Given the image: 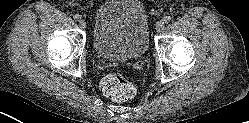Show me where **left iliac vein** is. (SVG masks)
Returning a JSON list of instances; mask_svg holds the SVG:
<instances>
[{"instance_id":"4c4485c4","label":"left iliac vein","mask_w":249,"mask_h":123,"mask_svg":"<svg viewBox=\"0 0 249 123\" xmlns=\"http://www.w3.org/2000/svg\"><path fill=\"white\" fill-rule=\"evenodd\" d=\"M155 29H156L158 32H161V31L164 29V22H163V21H158V22L156 23Z\"/></svg>"}]
</instances>
